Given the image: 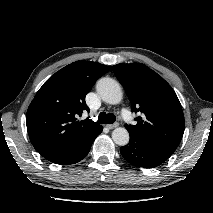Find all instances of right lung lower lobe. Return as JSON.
Listing matches in <instances>:
<instances>
[{
    "instance_id": "1",
    "label": "right lung lower lobe",
    "mask_w": 213,
    "mask_h": 213,
    "mask_svg": "<svg viewBox=\"0 0 213 213\" xmlns=\"http://www.w3.org/2000/svg\"><path fill=\"white\" fill-rule=\"evenodd\" d=\"M102 126L85 137L77 144L65 148L42 149L38 152L48 161L60 165L75 164L81 161L89 153L95 138L102 132Z\"/></svg>"
}]
</instances>
